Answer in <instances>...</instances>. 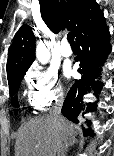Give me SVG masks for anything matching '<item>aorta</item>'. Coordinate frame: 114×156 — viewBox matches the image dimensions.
<instances>
[{"label":"aorta","mask_w":114,"mask_h":156,"mask_svg":"<svg viewBox=\"0 0 114 156\" xmlns=\"http://www.w3.org/2000/svg\"><path fill=\"white\" fill-rule=\"evenodd\" d=\"M36 57L41 64H46L50 58V53L43 43H38Z\"/></svg>","instance_id":"1"}]
</instances>
